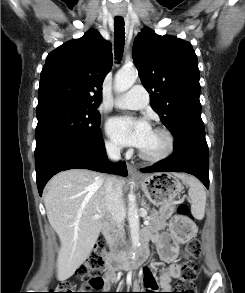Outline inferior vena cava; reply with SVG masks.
<instances>
[{
  "instance_id": "inferior-vena-cava-1",
  "label": "inferior vena cava",
  "mask_w": 245,
  "mask_h": 293,
  "mask_svg": "<svg viewBox=\"0 0 245 293\" xmlns=\"http://www.w3.org/2000/svg\"><path fill=\"white\" fill-rule=\"evenodd\" d=\"M108 158L117 162L120 160V147L116 145L106 146ZM105 205L111 221L120 230L123 226L124 204L122 201V186L116 176H109L105 182Z\"/></svg>"
}]
</instances>
